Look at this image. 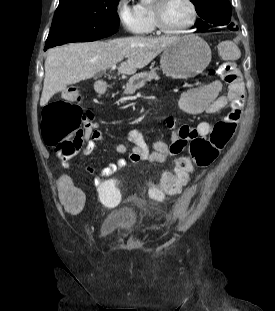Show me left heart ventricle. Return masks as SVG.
<instances>
[{"mask_svg": "<svg viewBox=\"0 0 275 311\" xmlns=\"http://www.w3.org/2000/svg\"><path fill=\"white\" fill-rule=\"evenodd\" d=\"M191 18V11L185 0H169L162 8V20L169 29L183 27Z\"/></svg>", "mask_w": 275, "mask_h": 311, "instance_id": "left-heart-ventricle-1", "label": "left heart ventricle"}]
</instances>
